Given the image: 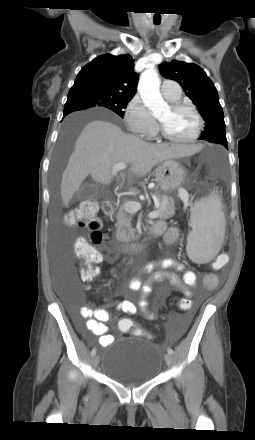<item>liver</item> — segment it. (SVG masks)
<instances>
[{
	"label": "liver",
	"instance_id": "6515ba94",
	"mask_svg": "<svg viewBox=\"0 0 255 440\" xmlns=\"http://www.w3.org/2000/svg\"><path fill=\"white\" fill-rule=\"evenodd\" d=\"M202 145L151 144L124 133L117 125L94 120L81 131L75 142L61 181V198L65 206L88 176L102 184L113 178L112 167L117 163L130 164L135 177L146 175L165 160L191 156ZM131 175V177H132Z\"/></svg>",
	"mask_w": 255,
	"mask_h": 440
}]
</instances>
